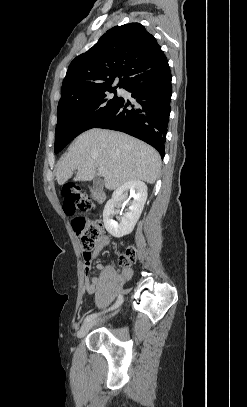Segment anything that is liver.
I'll return each instance as SVG.
<instances>
[{"label": "liver", "instance_id": "6515ba94", "mask_svg": "<svg viewBox=\"0 0 247 407\" xmlns=\"http://www.w3.org/2000/svg\"><path fill=\"white\" fill-rule=\"evenodd\" d=\"M102 168L104 185L114 190L127 181L155 183L161 168L159 153L127 134L91 129L79 135L60 160L56 179L63 185L77 170L74 181H91Z\"/></svg>", "mask_w": 247, "mask_h": 407}]
</instances>
